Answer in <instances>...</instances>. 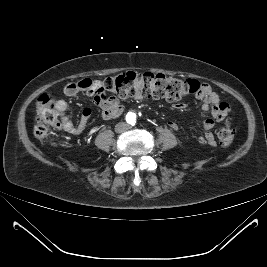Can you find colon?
I'll use <instances>...</instances> for the list:
<instances>
[{
    "mask_svg": "<svg viewBox=\"0 0 267 267\" xmlns=\"http://www.w3.org/2000/svg\"><path fill=\"white\" fill-rule=\"evenodd\" d=\"M78 86L85 89L95 102H104L114 98H154L178 101L192 94H199L204 88L194 79H180L150 72H125L102 80L83 79ZM60 123L55 105L50 97L43 96L37 107L34 134L37 138H45L51 129H58ZM222 147H229L234 139V130L226 121L218 131Z\"/></svg>",
    "mask_w": 267,
    "mask_h": 267,
    "instance_id": "1",
    "label": "colon"
}]
</instances>
